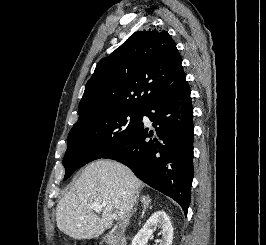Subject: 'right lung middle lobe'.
Listing matches in <instances>:
<instances>
[{
	"instance_id": "obj_1",
	"label": "right lung middle lobe",
	"mask_w": 266,
	"mask_h": 245,
	"mask_svg": "<svg viewBox=\"0 0 266 245\" xmlns=\"http://www.w3.org/2000/svg\"><path fill=\"white\" fill-rule=\"evenodd\" d=\"M144 112L145 109L115 107L78 119L68 136L64 181L76 169L124 146L137 132Z\"/></svg>"
}]
</instances>
